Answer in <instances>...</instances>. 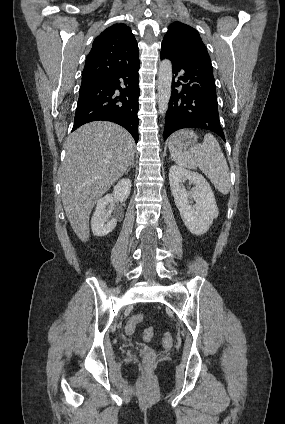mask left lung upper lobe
I'll return each mask as SVG.
<instances>
[{"label":"left lung upper lobe","mask_w":285,"mask_h":424,"mask_svg":"<svg viewBox=\"0 0 285 424\" xmlns=\"http://www.w3.org/2000/svg\"><path fill=\"white\" fill-rule=\"evenodd\" d=\"M162 43L181 54L201 53L209 56L199 33L191 26L181 22H173L168 27Z\"/></svg>","instance_id":"5c2ea615"}]
</instances>
